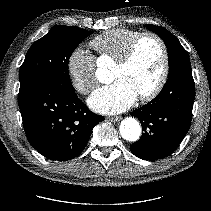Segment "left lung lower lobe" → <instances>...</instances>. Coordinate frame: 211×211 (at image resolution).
Returning <instances> with one entry per match:
<instances>
[{
    "instance_id": "1",
    "label": "left lung lower lobe",
    "mask_w": 211,
    "mask_h": 211,
    "mask_svg": "<svg viewBox=\"0 0 211 211\" xmlns=\"http://www.w3.org/2000/svg\"><path fill=\"white\" fill-rule=\"evenodd\" d=\"M194 99L191 65L169 73L162 91L131 113L144 131L140 140L130 146L131 152L150 161L171 155L190 128Z\"/></svg>"
}]
</instances>
